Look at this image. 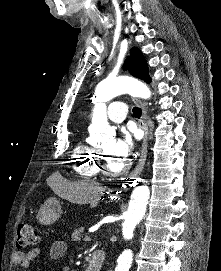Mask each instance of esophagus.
Masks as SVG:
<instances>
[{
	"mask_svg": "<svg viewBox=\"0 0 221 271\" xmlns=\"http://www.w3.org/2000/svg\"><path fill=\"white\" fill-rule=\"evenodd\" d=\"M133 101L134 103L140 105L142 109V117L139 121V125L144 131V138H143V142L141 146V154H140L139 161L136 167L134 168V170L132 171V173H130L129 178H136L137 176L141 174L143 170V167L145 165V161L147 158L148 136H149V130H148L147 122H146L147 112H146L145 106L141 102V100H139L138 98H134Z\"/></svg>",
	"mask_w": 221,
	"mask_h": 271,
	"instance_id": "esophagus-1",
	"label": "esophagus"
}]
</instances>
